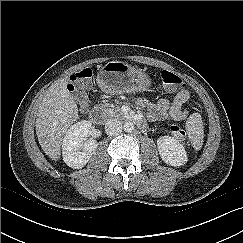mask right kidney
<instances>
[{"label":"right kidney","mask_w":243,"mask_h":243,"mask_svg":"<svg viewBox=\"0 0 243 243\" xmlns=\"http://www.w3.org/2000/svg\"><path fill=\"white\" fill-rule=\"evenodd\" d=\"M91 130V123L82 120L65 132L62 140V156L67 166L80 169L90 160L98 146L96 140L88 139Z\"/></svg>","instance_id":"1"}]
</instances>
